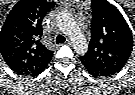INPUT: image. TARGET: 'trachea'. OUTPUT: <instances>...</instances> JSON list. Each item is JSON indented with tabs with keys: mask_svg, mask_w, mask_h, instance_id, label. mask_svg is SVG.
<instances>
[{
	"mask_svg": "<svg viewBox=\"0 0 135 95\" xmlns=\"http://www.w3.org/2000/svg\"><path fill=\"white\" fill-rule=\"evenodd\" d=\"M65 41V38L62 35H58L56 37V43H63Z\"/></svg>",
	"mask_w": 135,
	"mask_h": 95,
	"instance_id": "1",
	"label": "trachea"
}]
</instances>
